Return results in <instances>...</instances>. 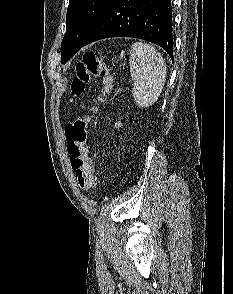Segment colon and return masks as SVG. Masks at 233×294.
Wrapping results in <instances>:
<instances>
[{"instance_id":"colon-1","label":"colon","mask_w":233,"mask_h":294,"mask_svg":"<svg viewBox=\"0 0 233 294\" xmlns=\"http://www.w3.org/2000/svg\"><path fill=\"white\" fill-rule=\"evenodd\" d=\"M97 77L102 78L103 87L101 95L91 108L93 113L97 111L98 105L111 92L113 78L102 58L93 51H87L75 66V76L71 83L72 96L83 93L90 81ZM90 120V115H79L66 128L71 167L77 175L79 186L86 192H90L97 182L88 147V125Z\"/></svg>"}]
</instances>
